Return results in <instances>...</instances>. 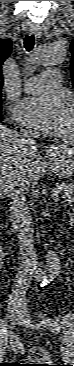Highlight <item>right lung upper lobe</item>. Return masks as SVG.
Here are the masks:
<instances>
[{"label": "right lung upper lobe", "mask_w": 74, "mask_h": 366, "mask_svg": "<svg viewBox=\"0 0 74 366\" xmlns=\"http://www.w3.org/2000/svg\"><path fill=\"white\" fill-rule=\"evenodd\" d=\"M12 50V42L9 39H0V94L1 88L4 83L2 77V64L8 58Z\"/></svg>", "instance_id": "1"}]
</instances>
